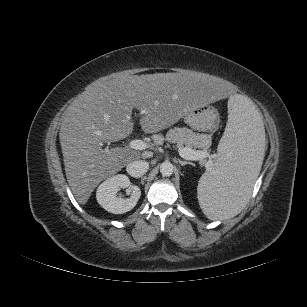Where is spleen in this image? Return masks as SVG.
I'll list each match as a JSON object with an SVG mask.
<instances>
[{
  "label": "spleen",
  "instance_id": "1",
  "mask_svg": "<svg viewBox=\"0 0 307 307\" xmlns=\"http://www.w3.org/2000/svg\"><path fill=\"white\" fill-rule=\"evenodd\" d=\"M228 108L220 156L197 187L199 205L211 220L234 217L247 205L267 156L262 118L253 103L236 95L230 98Z\"/></svg>",
  "mask_w": 307,
  "mask_h": 307
}]
</instances>
